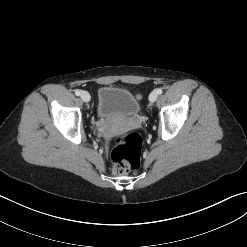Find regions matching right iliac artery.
<instances>
[{"label": "right iliac artery", "instance_id": "right-iliac-artery-1", "mask_svg": "<svg viewBox=\"0 0 247 247\" xmlns=\"http://www.w3.org/2000/svg\"><path fill=\"white\" fill-rule=\"evenodd\" d=\"M80 94H81V91L80 90H75V95H77V96H80Z\"/></svg>", "mask_w": 247, "mask_h": 247}]
</instances>
